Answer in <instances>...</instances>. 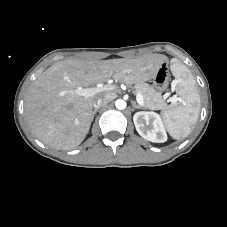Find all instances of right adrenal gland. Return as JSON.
<instances>
[{
	"mask_svg": "<svg viewBox=\"0 0 227 227\" xmlns=\"http://www.w3.org/2000/svg\"><path fill=\"white\" fill-rule=\"evenodd\" d=\"M97 111H98V109H95V110L93 111V116L97 113Z\"/></svg>",
	"mask_w": 227,
	"mask_h": 227,
	"instance_id": "1",
	"label": "right adrenal gland"
}]
</instances>
